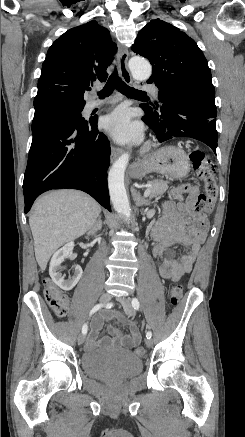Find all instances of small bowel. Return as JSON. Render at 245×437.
I'll list each match as a JSON object with an SVG mask.
<instances>
[{
	"mask_svg": "<svg viewBox=\"0 0 245 437\" xmlns=\"http://www.w3.org/2000/svg\"><path fill=\"white\" fill-rule=\"evenodd\" d=\"M208 219L206 214L199 212L190 198L187 202H166L162 218L152 227L150 235L156 242L152 250V258L156 262L159 275L167 281H178L190 273L197 260L201 245L206 239ZM177 243L186 247L180 258H163V252L171 249ZM105 316H96L92 322V333L87 348H94L97 344H115L132 348L139 344L140 335L134 324L130 325V334L126 335L119 328L113 326L110 332L113 340L108 337L97 339L98 331L102 327ZM120 320H124L119 316Z\"/></svg>",
	"mask_w": 245,
	"mask_h": 437,
	"instance_id": "1",
	"label": "small bowel"
}]
</instances>
